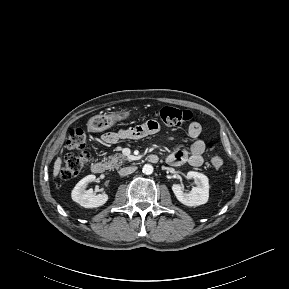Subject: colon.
Wrapping results in <instances>:
<instances>
[{"label":"colon","mask_w":289,"mask_h":289,"mask_svg":"<svg viewBox=\"0 0 289 289\" xmlns=\"http://www.w3.org/2000/svg\"><path fill=\"white\" fill-rule=\"evenodd\" d=\"M153 116L155 119L162 121L168 126H180L192 119L193 113L190 110L185 109L162 107L154 111ZM85 147V132L80 128L72 130L67 140V148L70 150H77L79 153H71L65 158L60 171L62 179L70 180L83 171L89 160V154L85 150ZM209 148L214 151V140L209 141ZM210 161L215 168H220L223 164L222 157L215 152L212 154Z\"/></svg>","instance_id":"obj_1"}]
</instances>
